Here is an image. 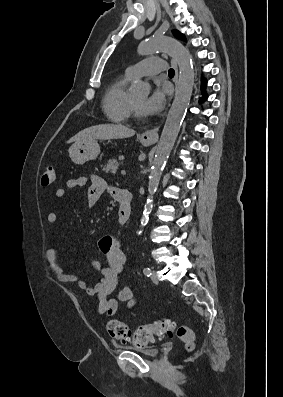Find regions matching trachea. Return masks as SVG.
<instances>
[{"mask_svg":"<svg viewBox=\"0 0 283 397\" xmlns=\"http://www.w3.org/2000/svg\"><path fill=\"white\" fill-rule=\"evenodd\" d=\"M168 75H169L170 77H173V76H174V70H173V69H169Z\"/></svg>","mask_w":283,"mask_h":397,"instance_id":"1","label":"trachea"}]
</instances>
